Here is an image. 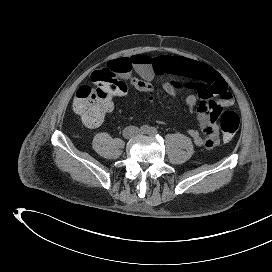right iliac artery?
Masks as SVG:
<instances>
[{
    "mask_svg": "<svg viewBox=\"0 0 272 272\" xmlns=\"http://www.w3.org/2000/svg\"><path fill=\"white\" fill-rule=\"evenodd\" d=\"M140 131H141V133H144V134L149 133L150 127H149L148 125H143V126L140 128Z\"/></svg>",
    "mask_w": 272,
    "mask_h": 272,
    "instance_id": "obj_1",
    "label": "right iliac artery"
}]
</instances>
